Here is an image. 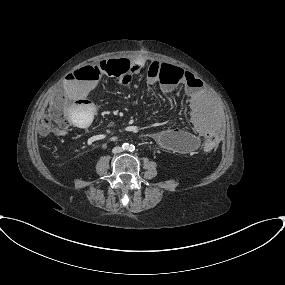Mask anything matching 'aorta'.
Listing matches in <instances>:
<instances>
[{
    "label": "aorta",
    "mask_w": 285,
    "mask_h": 285,
    "mask_svg": "<svg viewBox=\"0 0 285 285\" xmlns=\"http://www.w3.org/2000/svg\"><path fill=\"white\" fill-rule=\"evenodd\" d=\"M131 148H132V145H128V144L125 145V149L131 150Z\"/></svg>",
    "instance_id": "1"
}]
</instances>
